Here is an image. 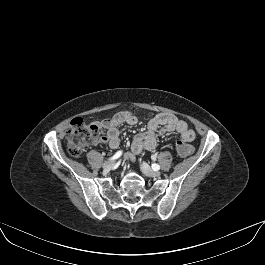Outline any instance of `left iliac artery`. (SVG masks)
Instances as JSON below:
<instances>
[{
    "instance_id": "left-iliac-artery-1",
    "label": "left iliac artery",
    "mask_w": 265,
    "mask_h": 265,
    "mask_svg": "<svg viewBox=\"0 0 265 265\" xmlns=\"http://www.w3.org/2000/svg\"><path fill=\"white\" fill-rule=\"evenodd\" d=\"M152 169L157 171L160 169V166L158 164L154 163V164H152Z\"/></svg>"
}]
</instances>
